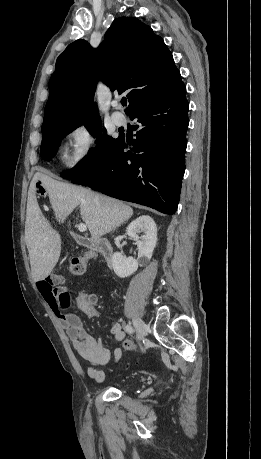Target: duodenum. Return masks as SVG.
Segmentation results:
<instances>
[{
  "instance_id": "duodenum-1",
  "label": "duodenum",
  "mask_w": 261,
  "mask_h": 459,
  "mask_svg": "<svg viewBox=\"0 0 261 459\" xmlns=\"http://www.w3.org/2000/svg\"><path fill=\"white\" fill-rule=\"evenodd\" d=\"M76 240L83 246L97 250L101 256L104 258L105 262L111 266L113 263V248L111 244L105 240L101 239L98 243H95L91 238L75 234Z\"/></svg>"
}]
</instances>
